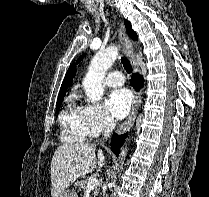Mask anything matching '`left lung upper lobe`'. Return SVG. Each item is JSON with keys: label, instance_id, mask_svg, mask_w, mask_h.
<instances>
[{"label": "left lung upper lobe", "instance_id": "5c2ea615", "mask_svg": "<svg viewBox=\"0 0 209 197\" xmlns=\"http://www.w3.org/2000/svg\"><path fill=\"white\" fill-rule=\"evenodd\" d=\"M124 24H125V27H126V30H127V33L128 35L133 39V40H137V34L135 31L132 30V26L130 24L129 21L127 20H124ZM84 57V55H82L78 60H77V63Z\"/></svg>", "mask_w": 209, "mask_h": 197}]
</instances>
